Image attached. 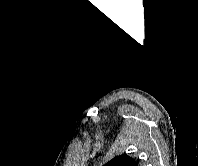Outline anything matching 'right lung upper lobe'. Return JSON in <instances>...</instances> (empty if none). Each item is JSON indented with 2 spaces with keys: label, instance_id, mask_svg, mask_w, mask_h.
I'll use <instances>...</instances> for the list:
<instances>
[{
  "label": "right lung upper lobe",
  "instance_id": "obj_1",
  "mask_svg": "<svg viewBox=\"0 0 198 166\" xmlns=\"http://www.w3.org/2000/svg\"><path fill=\"white\" fill-rule=\"evenodd\" d=\"M104 166H138V164L128 155H120L109 161Z\"/></svg>",
  "mask_w": 198,
  "mask_h": 166
}]
</instances>
